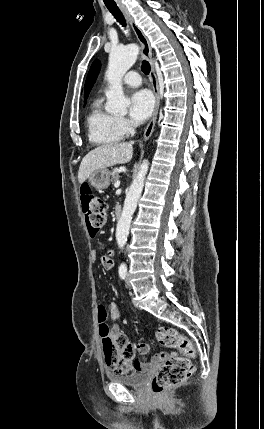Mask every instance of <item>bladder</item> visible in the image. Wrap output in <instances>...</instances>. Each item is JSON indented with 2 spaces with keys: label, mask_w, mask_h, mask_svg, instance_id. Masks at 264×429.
<instances>
[{
  "label": "bladder",
  "mask_w": 264,
  "mask_h": 429,
  "mask_svg": "<svg viewBox=\"0 0 264 429\" xmlns=\"http://www.w3.org/2000/svg\"><path fill=\"white\" fill-rule=\"evenodd\" d=\"M149 376V371H141L126 375L108 374V379L127 387L139 388L147 382Z\"/></svg>",
  "instance_id": "31cf9c89"
}]
</instances>
